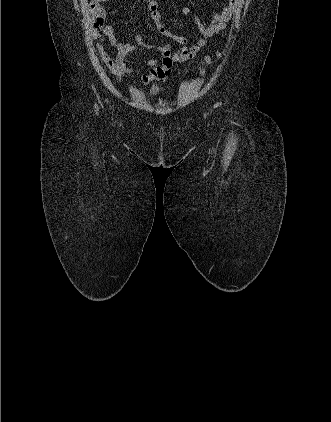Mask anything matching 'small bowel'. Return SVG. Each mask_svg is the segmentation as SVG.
<instances>
[{
	"label": "small bowel",
	"mask_w": 331,
	"mask_h": 422,
	"mask_svg": "<svg viewBox=\"0 0 331 422\" xmlns=\"http://www.w3.org/2000/svg\"><path fill=\"white\" fill-rule=\"evenodd\" d=\"M103 1L105 0H92L91 3L94 22L93 34L97 40V49L101 59L117 79L124 80L134 70L133 67L126 64V57L129 55L138 56L150 68L149 74L143 79L145 83L152 80L164 81L169 77L174 64L192 60L206 45L209 37L225 28L226 23L231 19L241 2V0H224L222 9L214 12L211 20L206 24L193 14L190 8H184L183 14L193 15L196 31L202 36L195 42L189 43L186 37L173 34L161 23L156 0H145V7L150 12L151 20L158 32L170 38L173 43L180 45V48L173 52L172 43L165 45L149 44L143 40L141 33L135 35L134 43L119 41L114 27L105 23L106 11L102 6ZM106 43H109L116 50L115 57H111L106 51ZM149 51H156L158 55L148 58L147 53Z\"/></svg>",
	"instance_id": "small-bowel-1"
}]
</instances>
